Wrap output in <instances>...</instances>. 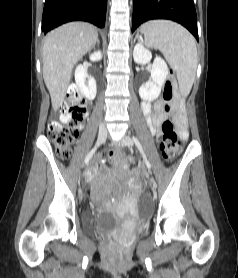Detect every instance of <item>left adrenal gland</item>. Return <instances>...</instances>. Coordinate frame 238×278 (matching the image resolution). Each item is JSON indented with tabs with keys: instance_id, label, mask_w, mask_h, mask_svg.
I'll use <instances>...</instances> for the list:
<instances>
[{
	"instance_id": "a2214340",
	"label": "left adrenal gland",
	"mask_w": 238,
	"mask_h": 278,
	"mask_svg": "<svg viewBox=\"0 0 238 278\" xmlns=\"http://www.w3.org/2000/svg\"><path fill=\"white\" fill-rule=\"evenodd\" d=\"M136 39H138V41H141V40H142V38H141V36H140L139 33L136 34L135 39H134V42L136 41Z\"/></svg>"
}]
</instances>
